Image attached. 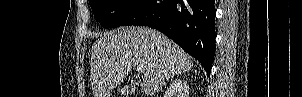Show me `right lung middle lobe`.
<instances>
[{
	"label": "right lung middle lobe",
	"mask_w": 302,
	"mask_h": 97,
	"mask_svg": "<svg viewBox=\"0 0 302 97\" xmlns=\"http://www.w3.org/2000/svg\"><path fill=\"white\" fill-rule=\"evenodd\" d=\"M145 0H89L94 17L104 28H115L133 14Z\"/></svg>",
	"instance_id": "obj_1"
}]
</instances>
